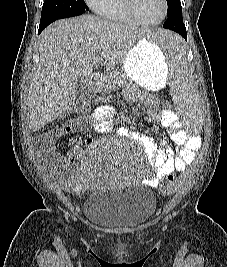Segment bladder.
<instances>
[{"instance_id":"1","label":"bladder","mask_w":227,"mask_h":267,"mask_svg":"<svg viewBox=\"0 0 227 267\" xmlns=\"http://www.w3.org/2000/svg\"><path fill=\"white\" fill-rule=\"evenodd\" d=\"M153 193L141 185L93 188L83 211L87 220L107 229L134 228L145 224L156 210Z\"/></svg>"}]
</instances>
